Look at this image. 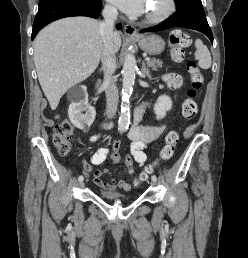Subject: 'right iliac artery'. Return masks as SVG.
Instances as JSON below:
<instances>
[{"label": "right iliac artery", "mask_w": 248, "mask_h": 258, "mask_svg": "<svg viewBox=\"0 0 248 258\" xmlns=\"http://www.w3.org/2000/svg\"><path fill=\"white\" fill-rule=\"evenodd\" d=\"M83 176L82 175H80L79 177H78V180L81 182V181H83Z\"/></svg>", "instance_id": "obj_1"}]
</instances>
